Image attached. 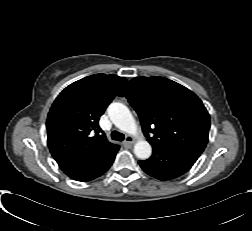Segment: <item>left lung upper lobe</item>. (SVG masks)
I'll list each match as a JSON object with an SVG mask.
<instances>
[{"instance_id":"1","label":"left lung upper lobe","mask_w":252,"mask_h":231,"mask_svg":"<svg viewBox=\"0 0 252 231\" xmlns=\"http://www.w3.org/2000/svg\"><path fill=\"white\" fill-rule=\"evenodd\" d=\"M140 117L152 146H180L203 152L208 142L210 116L189 89L164 77H138L119 92Z\"/></svg>"}]
</instances>
